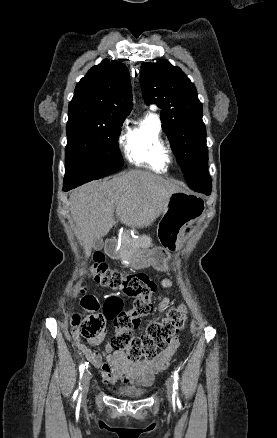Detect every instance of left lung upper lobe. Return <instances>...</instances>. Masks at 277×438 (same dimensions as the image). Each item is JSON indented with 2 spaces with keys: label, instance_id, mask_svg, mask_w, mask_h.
Segmentation results:
<instances>
[{
  "label": "left lung upper lobe",
  "instance_id": "obj_1",
  "mask_svg": "<svg viewBox=\"0 0 277 438\" xmlns=\"http://www.w3.org/2000/svg\"><path fill=\"white\" fill-rule=\"evenodd\" d=\"M140 83L145 102L161 108L163 129L189 187L210 194L206 128L194 84L167 60L142 63Z\"/></svg>",
  "mask_w": 277,
  "mask_h": 438
}]
</instances>
